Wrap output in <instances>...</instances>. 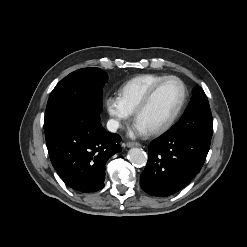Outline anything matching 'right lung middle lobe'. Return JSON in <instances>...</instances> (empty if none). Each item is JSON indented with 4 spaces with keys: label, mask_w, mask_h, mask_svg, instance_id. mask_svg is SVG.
<instances>
[{
    "label": "right lung middle lobe",
    "mask_w": 247,
    "mask_h": 247,
    "mask_svg": "<svg viewBox=\"0 0 247 247\" xmlns=\"http://www.w3.org/2000/svg\"><path fill=\"white\" fill-rule=\"evenodd\" d=\"M107 74L99 68L70 73L51 92L44 119L45 134L78 122L100 120L102 87Z\"/></svg>",
    "instance_id": "1"
}]
</instances>
